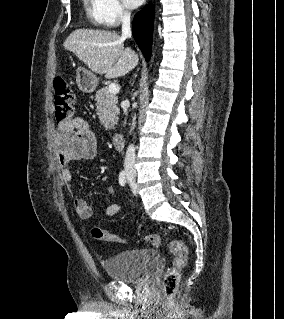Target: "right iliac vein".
<instances>
[{"label":"right iliac vein","instance_id":"right-iliac-vein-1","mask_svg":"<svg viewBox=\"0 0 284 319\" xmlns=\"http://www.w3.org/2000/svg\"><path fill=\"white\" fill-rule=\"evenodd\" d=\"M127 178L130 181L133 190L136 191L137 185L135 184L134 176L131 172H127Z\"/></svg>","mask_w":284,"mask_h":319}]
</instances>
